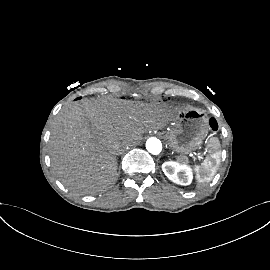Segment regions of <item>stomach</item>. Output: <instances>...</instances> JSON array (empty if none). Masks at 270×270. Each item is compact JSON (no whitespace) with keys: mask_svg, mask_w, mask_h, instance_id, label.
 <instances>
[{"mask_svg":"<svg viewBox=\"0 0 270 270\" xmlns=\"http://www.w3.org/2000/svg\"><path fill=\"white\" fill-rule=\"evenodd\" d=\"M207 125L205 112L191 108L177 115L165 139L170 148L183 156L200 147L207 134Z\"/></svg>","mask_w":270,"mask_h":270,"instance_id":"stomach-1","label":"stomach"}]
</instances>
